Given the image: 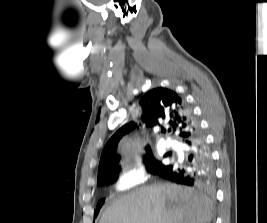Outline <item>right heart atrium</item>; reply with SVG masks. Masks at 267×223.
<instances>
[{"mask_svg": "<svg viewBox=\"0 0 267 223\" xmlns=\"http://www.w3.org/2000/svg\"><path fill=\"white\" fill-rule=\"evenodd\" d=\"M149 177V171L139 164L120 172L116 176L114 187L118 192L131 190L145 183Z\"/></svg>", "mask_w": 267, "mask_h": 223, "instance_id": "1", "label": "right heart atrium"}]
</instances>
